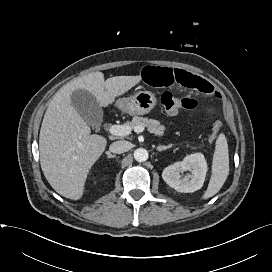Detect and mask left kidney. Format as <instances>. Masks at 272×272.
<instances>
[{"mask_svg":"<svg viewBox=\"0 0 272 272\" xmlns=\"http://www.w3.org/2000/svg\"><path fill=\"white\" fill-rule=\"evenodd\" d=\"M190 171L191 174L181 179L180 173ZM207 163L202 153L186 156L183 161L166 167L162 172L163 180L178 192L192 193L199 190L204 183Z\"/></svg>","mask_w":272,"mask_h":272,"instance_id":"left-kidney-1","label":"left kidney"}]
</instances>
